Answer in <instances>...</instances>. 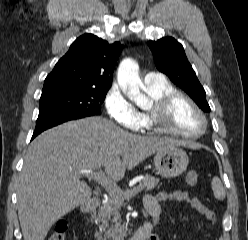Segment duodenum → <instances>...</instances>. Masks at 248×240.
Wrapping results in <instances>:
<instances>
[{"instance_id":"obj_1","label":"duodenum","mask_w":248,"mask_h":240,"mask_svg":"<svg viewBox=\"0 0 248 240\" xmlns=\"http://www.w3.org/2000/svg\"><path fill=\"white\" fill-rule=\"evenodd\" d=\"M99 200L92 198L87 199L81 204V211L85 214L93 213L99 205ZM151 235V224L145 223L132 237L130 240H150Z\"/></svg>"}]
</instances>
